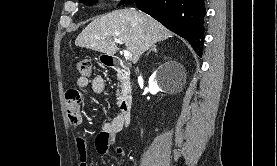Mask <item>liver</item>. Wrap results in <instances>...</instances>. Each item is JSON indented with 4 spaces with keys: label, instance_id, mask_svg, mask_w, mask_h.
<instances>
[{
    "label": "liver",
    "instance_id": "obj_1",
    "mask_svg": "<svg viewBox=\"0 0 277 166\" xmlns=\"http://www.w3.org/2000/svg\"><path fill=\"white\" fill-rule=\"evenodd\" d=\"M172 37V33L152 17L131 9H119L94 19L75 40V45L106 55H114L120 39L136 63L140 56L155 45Z\"/></svg>",
    "mask_w": 277,
    "mask_h": 166
}]
</instances>
